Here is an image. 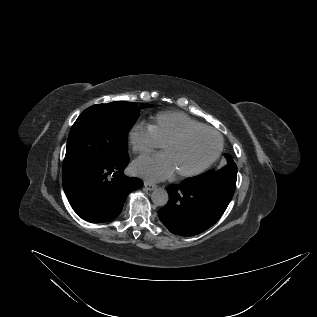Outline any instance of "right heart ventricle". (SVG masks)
Returning <instances> with one entry per match:
<instances>
[{
	"label": "right heart ventricle",
	"instance_id": "obj_1",
	"mask_svg": "<svg viewBox=\"0 0 317 317\" xmlns=\"http://www.w3.org/2000/svg\"><path fill=\"white\" fill-rule=\"evenodd\" d=\"M150 127L157 140L163 145L186 129L204 127V125L185 113L166 111L156 114Z\"/></svg>",
	"mask_w": 317,
	"mask_h": 317
}]
</instances>
